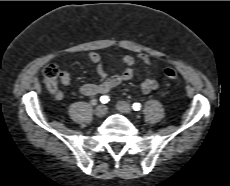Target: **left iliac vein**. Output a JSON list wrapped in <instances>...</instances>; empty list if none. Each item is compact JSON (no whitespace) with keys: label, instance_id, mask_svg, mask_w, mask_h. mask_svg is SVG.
Wrapping results in <instances>:
<instances>
[{"label":"left iliac vein","instance_id":"1","mask_svg":"<svg viewBox=\"0 0 230 186\" xmlns=\"http://www.w3.org/2000/svg\"><path fill=\"white\" fill-rule=\"evenodd\" d=\"M117 109L120 112L125 113V114H131L132 113V108H131L130 104H128L125 101H119L117 103Z\"/></svg>","mask_w":230,"mask_h":186}]
</instances>
